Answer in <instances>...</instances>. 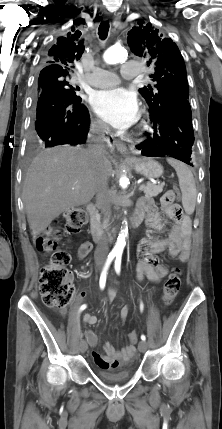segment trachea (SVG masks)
I'll use <instances>...</instances> for the list:
<instances>
[{
  "label": "trachea",
  "instance_id": "obj_1",
  "mask_svg": "<svg viewBox=\"0 0 222 429\" xmlns=\"http://www.w3.org/2000/svg\"><path fill=\"white\" fill-rule=\"evenodd\" d=\"M109 32V22L102 21L99 26V36L102 40L107 38Z\"/></svg>",
  "mask_w": 222,
  "mask_h": 429
}]
</instances>
